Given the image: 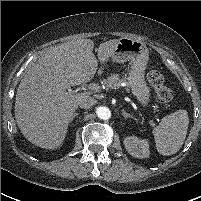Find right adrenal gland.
Masks as SVG:
<instances>
[{"instance_id":"1","label":"right adrenal gland","mask_w":201,"mask_h":201,"mask_svg":"<svg viewBox=\"0 0 201 201\" xmlns=\"http://www.w3.org/2000/svg\"><path fill=\"white\" fill-rule=\"evenodd\" d=\"M79 114H80V113H74L73 116H72L71 119H70V122H72L73 119H74L76 116H78Z\"/></svg>"}]
</instances>
